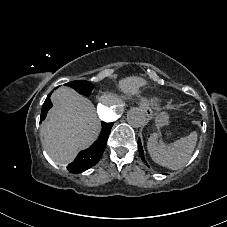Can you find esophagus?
I'll return each instance as SVG.
<instances>
[{"label":"esophagus","instance_id":"obj_1","mask_svg":"<svg viewBox=\"0 0 227 227\" xmlns=\"http://www.w3.org/2000/svg\"><path fill=\"white\" fill-rule=\"evenodd\" d=\"M141 110H142V114L143 116L147 119V120H152L154 118V113L152 111V109L150 108V105L148 103H143L141 105Z\"/></svg>","mask_w":227,"mask_h":227}]
</instances>
